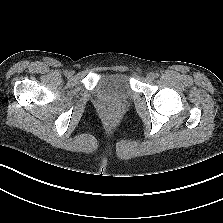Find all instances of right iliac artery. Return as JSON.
<instances>
[{"mask_svg": "<svg viewBox=\"0 0 223 223\" xmlns=\"http://www.w3.org/2000/svg\"><path fill=\"white\" fill-rule=\"evenodd\" d=\"M64 74L67 75L68 74V71H65Z\"/></svg>", "mask_w": 223, "mask_h": 223, "instance_id": "right-iliac-artery-1", "label": "right iliac artery"}]
</instances>
